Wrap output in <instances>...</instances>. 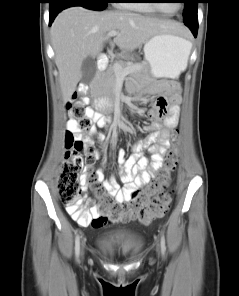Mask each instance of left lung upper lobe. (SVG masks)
Segmentation results:
<instances>
[{
  "instance_id": "1",
  "label": "left lung upper lobe",
  "mask_w": 239,
  "mask_h": 296,
  "mask_svg": "<svg viewBox=\"0 0 239 296\" xmlns=\"http://www.w3.org/2000/svg\"><path fill=\"white\" fill-rule=\"evenodd\" d=\"M185 8L183 11V20L187 25L189 23L198 22L197 8L199 0H185Z\"/></svg>"
}]
</instances>
